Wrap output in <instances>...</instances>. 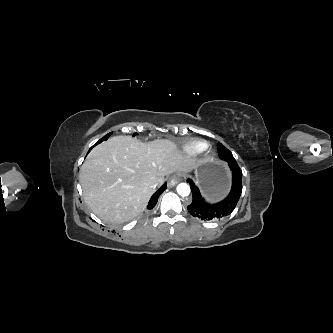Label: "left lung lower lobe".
I'll return each instance as SVG.
<instances>
[{"instance_id":"0a47b994","label":"left lung lower lobe","mask_w":333,"mask_h":333,"mask_svg":"<svg viewBox=\"0 0 333 333\" xmlns=\"http://www.w3.org/2000/svg\"><path fill=\"white\" fill-rule=\"evenodd\" d=\"M232 171V188L229 195L216 204H208L201 196L195 183L188 179L191 185L192 203L187 207L189 213L204 221L220 220L234 210L242 192V171L236 161H227Z\"/></svg>"}]
</instances>
